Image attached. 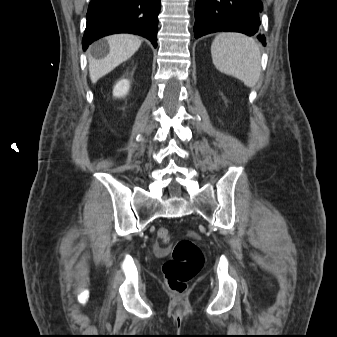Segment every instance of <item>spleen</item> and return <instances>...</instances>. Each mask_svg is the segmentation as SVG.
Instances as JSON below:
<instances>
[{
    "label": "spleen",
    "mask_w": 337,
    "mask_h": 337,
    "mask_svg": "<svg viewBox=\"0 0 337 337\" xmlns=\"http://www.w3.org/2000/svg\"><path fill=\"white\" fill-rule=\"evenodd\" d=\"M213 64L222 73L254 87L261 72V53L256 41L241 33H220L212 42Z\"/></svg>",
    "instance_id": "spleen-1"
}]
</instances>
